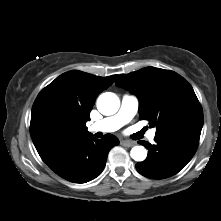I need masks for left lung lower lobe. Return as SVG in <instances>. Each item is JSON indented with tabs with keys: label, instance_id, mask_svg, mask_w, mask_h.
Instances as JSON below:
<instances>
[{
	"label": "left lung lower lobe",
	"instance_id": "left-lung-lower-lobe-1",
	"mask_svg": "<svg viewBox=\"0 0 221 221\" xmlns=\"http://www.w3.org/2000/svg\"><path fill=\"white\" fill-rule=\"evenodd\" d=\"M200 132L177 131L155 136L156 144L139 141L148 149V156L136 164L137 171L148 178L164 179L178 173L195 154Z\"/></svg>",
	"mask_w": 221,
	"mask_h": 221
}]
</instances>
